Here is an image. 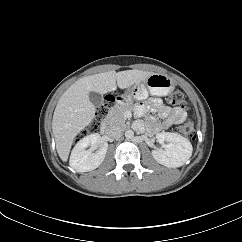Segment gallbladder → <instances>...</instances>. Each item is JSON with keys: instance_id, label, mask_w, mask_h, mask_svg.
<instances>
[{"instance_id": "1", "label": "gallbladder", "mask_w": 242, "mask_h": 242, "mask_svg": "<svg viewBox=\"0 0 242 242\" xmlns=\"http://www.w3.org/2000/svg\"><path fill=\"white\" fill-rule=\"evenodd\" d=\"M88 96L90 101L96 108L102 106L103 100L99 92L91 90Z\"/></svg>"}]
</instances>
